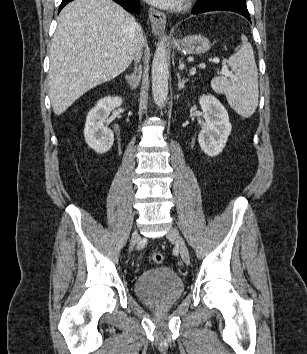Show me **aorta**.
<instances>
[{
  "mask_svg": "<svg viewBox=\"0 0 307 354\" xmlns=\"http://www.w3.org/2000/svg\"><path fill=\"white\" fill-rule=\"evenodd\" d=\"M166 35L157 44L152 61V94L158 107H162L168 96V57L166 53Z\"/></svg>",
  "mask_w": 307,
  "mask_h": 354,
  "instance_id": "762f6f07",
  "label": "aorta"
}]
</instances>
